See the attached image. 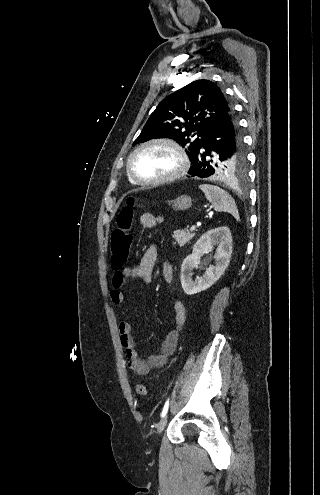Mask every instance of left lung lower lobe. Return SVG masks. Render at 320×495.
Wrapping results in <instances>:
<instances>
[{
	"instance_id": "0a47b994",
	"label": "left lung lower lobe",
	"mask_w": 320,
	"mask_h": 495,
	"mask_svg": "<svg viewBox=\"0 0 320 495\" xmlns=\"http://www.w3.org/2000/svg\"><path fill=\"white\" fill-rule=\"evenodd\" d=\"M239 136L238 122L231 110L227 116L217 121L200 149L190 158L193 166L188 173L201 178L212 176L213 170L211 162L207 159L208 154L214 149L228 148L232 152L236 151Z\"/></svg>"
}]
</instances>
